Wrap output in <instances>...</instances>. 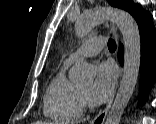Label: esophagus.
Returning <instances> with one entry per match:
<instances>
[{
  "instance_id": "esophagus-1",
  "label": "esophagus",
  "mask_w": 156,
  "mask_h": 124,
  "mask_svg": "<svg viewBox=\"0 0 156 124\" xmlns=\"http://www.w3.org/2000/svg\"><path fill=\"white\" fill-rule=\"evenodd\" d=\"M109 27L111 29V32L113 33L116 41H117V46H119V36H118V33H117V28L115 27L114 24H109ZM112 102H113V99H111L107 106L105 107L104 110H102L91 122V124H103L105 119H106V116L111 108V105H112Z\"/></svg>"
}]
</instances>
